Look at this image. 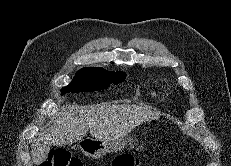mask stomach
I'll use <instances>...</instances> for the list:
<instances>
[{
  "mask_svg": "<svg viewBox=\"0 0 231 166\" xmlns=\"http://www.w3.org/2000/svg\"><path fill=\"white\" fill-rule=\"evenodd\" d=\"M129 141H133L132 138L128 139ZM125 141L122 139L119 140H96L91 139L90 145H86L84 141L79 144V148L83 154L88 156H97L101 154H105L107 152H117L120 151L125 146Z\"/></svg>",
  "mask_w": 231,
  "mask_h": 166,
  "instance_id": "stomach-1",
  "label": "stomach"
}]
</instances>
